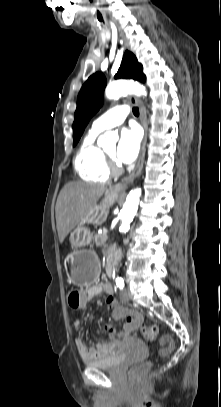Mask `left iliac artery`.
<instances>
[{"mask_svg":"<svg viewBox=\"0 0 221 407\" xmlns=\"http://www.w3.org/2000/svg\"><path fill=\"white\" fill-rule=\"evenodd\" d=\"M116 284H117V287H118L120 290H123V289H124V281H123L122 279H117V280H116Z\"/></svg>","mask_w":221,"mask_h":407,"instance_id":"obj_1","label":"left iliac artery"}]
</instances>
